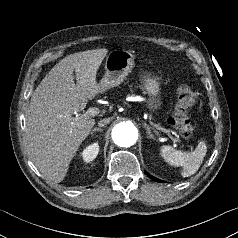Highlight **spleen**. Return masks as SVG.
Listing matches in <instances>:
<instances>
[{
  "instance_id": "obj_1",
  "label": "spleen",
  "mask_w": 238,
  "mask_h": 238,
  "mask_svg": "<svg viewBox=\"0 0 238 238\" xmlns=\"http://www.w3.org/2000/svg\"><path fill=\"white\" fill-rule=\"evenodd\" d=\"M207 152V146L204 141H199L196 149L189 152L175 150L173 147L164 145L161 148V156L170 165L182 166L181 175L188 177L195 174L201 166Z\"/></svg>"
}]
</instances>
